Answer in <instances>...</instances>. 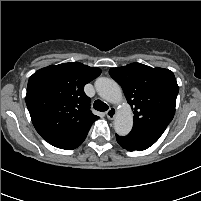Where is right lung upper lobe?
<instances>
[{"mask_svg":"<svg viewBox=\"0 0 201 201\" xmlns=\"http://www.w3.org/2000/svg\"><path fill=\"white\" fill-rule=\"evenodd\" d=\"M101 70L79 62L50 65L28 81L26 104L37 132L47 142L86 135L99 117L90 110L84 86Z\"/></svg>","mask_w":201,"mask_h":201,"instance_id":"obj_1","label":"right lung upper lobe"}]
</instances>
